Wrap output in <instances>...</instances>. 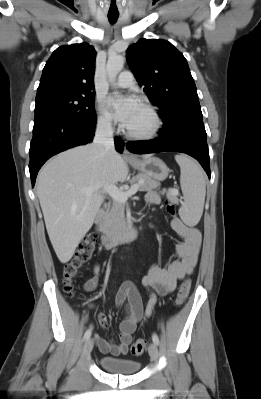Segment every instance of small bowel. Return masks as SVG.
<instances>
[{"instance_id":"obj_1","label":"small bowel","mask_w":261,"mask_h":399,"mask_svg":"<svg viewBox=\"0 0 261 399\" xmlns=\"http://www.w3.org/2000/svg\"><path fill=\"white\" fill-rule=\"evenodd\" d=\"M160 201V197L155 191L147 192L146 202L149 205H157ZM171 226L184 239L183 242L175 246V258L169 260L165 265H152L148 274L142 279L143 286L150 293L145 310L134 283L125 281L121 284L115 296V304L117 307L125 305L126 315L119 325V343L105 340L100 335L94 334L93 338L100 352L114 356L126 354L138 322L143 317H149L153 312L156 303L155 292L167 295L176 288L177 280L183 279L195 268L202 244L200 230L184 224L178 218L172 219ZM93 271L94 276L87 279L84 284V289L87 292L93 291L98 285L101 274L100 265H94ZM98 320L103 327L107 326V318L103 313L99 314Z\"/></svg>"}]
</instances>
